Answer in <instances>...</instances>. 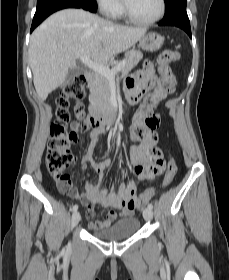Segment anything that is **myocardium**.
<instances>
[{
	"mask_svg": "<svg viewBox=\"0 0 229 280\" xmlns=\"http://www.w3.org/2000/svg\"><path fill=\"white\" fill-rule=\"evenodd\" d=\"M159 2H160L159 12L150 19H139V18L133 16L131 14V12L129 11V8H128L125 0H122V11H123L124 16L131 23L138 24V25H145V26L152 25V24L160 21L164 17L165 12H166V1L159 0Z\"/></svg>",
	"mask_w": 229,
	"mask_h": 280,
	"instance_id": "1",
	"label": "myocardium"
}]
</instances>
